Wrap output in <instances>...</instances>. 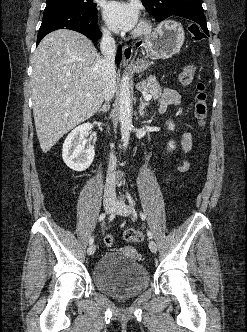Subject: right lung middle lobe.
I'll use <instances>...</instances> for the list:
<instances>
[{
  "instance_id": "obj_1",
  "label": "right lung middle lobe",
  "mask_w": 247,
  "mask_h": 332,
  "mask_svg": "<svg viewBox=\"0 0 247 332\" xmlns=\"http://www.w3.org/2000/svg\"><path fill=\"white\" fill-rule=\"evenodd\" d=\"M46 8L55 9V8H73L83 10L88 13H96L97 8L96 4L92 0H46Z\"/></svg>"
}]
</instances>
